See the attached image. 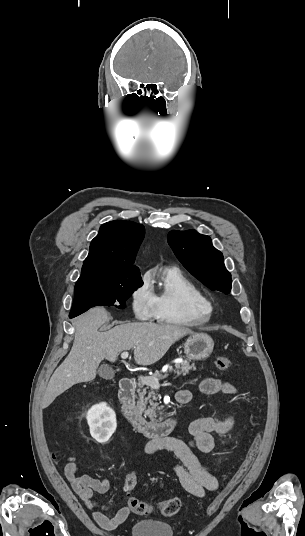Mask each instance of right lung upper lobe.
<instances>
[{
    "label": "right lung upper lobe",
    "instance_id": "right-lung-upper-lobe-1",
    "mask_svg": "<svg viewBox=\"0 0 305 536\" xmlns=\"http://www.w3.org/2000/svg\"><path fill=\"white\" fill-rule=\"evenodd\" d=\"M144 226L116 220L103 224L92 240L80 277H141L134 259L144 237Z\"/></svg>",
    "mask_w": 305,
    "mask_h": 536
}]
</instances>
